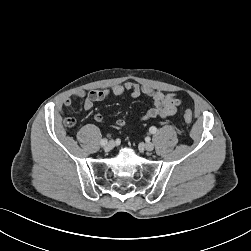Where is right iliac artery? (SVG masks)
Segmentation results:
<instances>
[{
	"label": "right iliac artery",
	"mask_w": 251,
	"mask_h": 251,
	"mask_svg": "<svg viewBox=\"0 0 251 251\" xmlns=\"http://www.w3.org/2000/svg\"><path fill=\"white\" fill-rule=\"evenodd\" d=\"M107 139L106 138H104V139H102L101 141H100V144H101V146H105L106 144H107Z\"/></svg>",
	"instance_id": "obj_1"
}]
</instances>
